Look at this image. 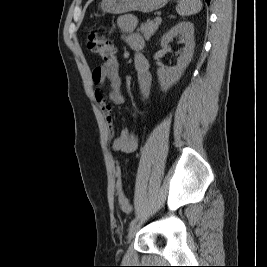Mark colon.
<instances>
[{"mask_svg": "<svg viewBox=\"0 0 267 267\" xmlns=\"http://www.w3.org/2000/svg\"><path fill=\"white\" fill-rule=\"evenodd\" d=\"M87 46L92 53L101 57L105 61L112 60L115 55V46L113 42L98 32H91L88 35ZM115 174L118 204L123 212L130 213L132 207L122 190L121 169L118 165L116 166Z\"/></svg>", "mask_w": 267, "mask_h": 267, "instance_id": "1", "label": "colon"}]
</instances>
